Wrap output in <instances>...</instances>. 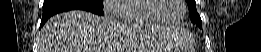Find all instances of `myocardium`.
Listing matches in <instances>:
<instances>
[{
    "mask_svg": "<svg viewBox=\"0 0 261 52\" xmlns=\"http://www.w3.org/2000/svg\"><path fill=\"white\" fill-rule=\"evenodd\" d=\"M179 5L181 6V15L178 19L174 21L165 20L160 17L159 11L163 9L164 3L161 0H151L148 4L149 9L153 12V15L156 17V19L163 24H169L174 25L181 22L186 14V5L184 0H178Z\"/></svg>",
    "mask_w": 261,
    "mask_h": 52,
    "instance_id": "1",
    "label": "myocardium"
}]
</instances>
